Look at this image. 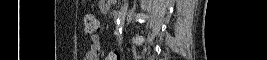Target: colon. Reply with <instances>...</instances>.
I'll list each match as a JSON object with an SVG mask.
<instances>
[{
    "instance_id": "5ec220e1",
    "label": "colon",
    "mask_w": 267,
    "mask_h": 60,
    "mask_svg": "<svg viewBox=\"0 0 267 60\" xmlns=\"http://www.w3.org/2000/svg\"><path fill=\"white\" fill-rule=\"evenodd\" d=\"M97 28H98V22H97L96 18L92 15H86L84 17L85 32L88 35H92L96 32Z\"/></svg>"
}]
</instances>
